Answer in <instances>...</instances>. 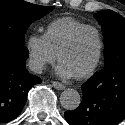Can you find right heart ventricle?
Segmentation results:
<instances>
[{
    "label": "right heart ventricle",
    "mask_w": 125,
    "mask_h": 125,
    "mask_svg": "<svg viewBox=\"0 0 125 125\" xmlns=\"http://www.w3.org/2000/svg\"><path fill=\"white\" fill-rule=\"evenodd\" d=\"M87 24L73 18L63 17L50 22L45 30L46 41L51 50L57 55L61 46L78 29Z\"/></svg>",
    "instance_id": "right-heart-ventricle-1"
}]
</instances>
